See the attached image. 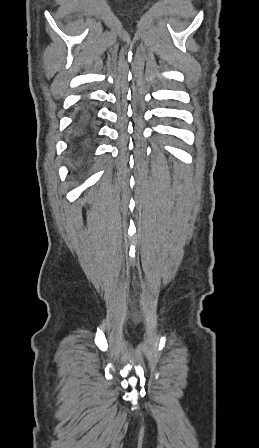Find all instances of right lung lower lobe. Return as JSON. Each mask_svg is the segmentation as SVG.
Wrapping results in <instances>:
<instances>
[{"label":"right lung lower lobe","instance_id":"right-lung-lower-lobe-1","mask_svg":"<svg viewBox=\"0 0 259 448\" xmlns=\"http://www.w3.org/2000/svg\"><path fill=\"white\" fill-rule=\"evenodd\" d=\"M95 139V118L92 107L79 105L69 131V158L75 174L83 173L91 164V150Z\"/></svg>","mask_w":259,"mask_h":448}]
</instances>
